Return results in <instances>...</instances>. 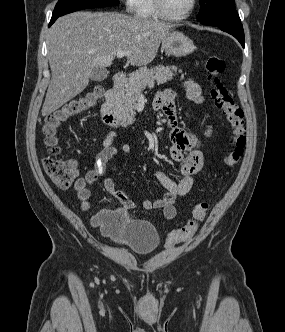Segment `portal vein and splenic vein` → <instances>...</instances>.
<instances>
[{
  "instance_id": "18ae733b",
  "label": "portal vein and splenic vein",
  "mask_w": 285,
  "mask_h": 332,
  "mask_svg": "<svg viewBox=\"0 0 285 332\" xmlns=\"http://www.w3.org/2000/svg\"><path fill=\"white\" fill-rule=\"evenodd\" d=\"M128 54H129L128 51H123V50L117 51V53H116V55H117L118 58H122V57H124V56H126Z\"/></svg>"
}]
</instances>
